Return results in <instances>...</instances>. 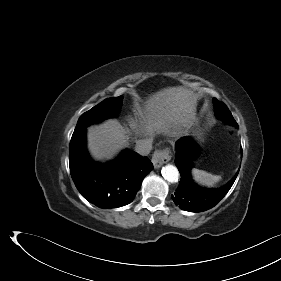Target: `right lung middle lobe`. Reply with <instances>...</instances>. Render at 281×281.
I'll return each mask as SVG.
<instances>
[{
  "instance_id": "right-lung-middle-lobe-1",
  "label": "right lung middle lobe",
  "mask_w": 281,
  "mask_h": 281,
  "mask_svg": "<svg viewBox=\"0 0 281 281\" xmlns=\"http://www.w3.org/2000/svg\"><path fill=\"white\" fill-rule=\"evenodd\" d=\"M122 102L123 96L105 99L80 116L75 131L86 128L90 124L100 122L105 118L115 116L119 112Z\"/></svg>"
}]
</instances>
